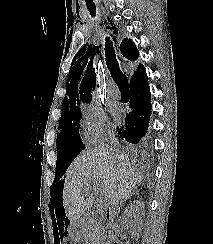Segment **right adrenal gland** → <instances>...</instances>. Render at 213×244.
<instances>
[{"label":"right adrenal gland","instance_id":"1","mask_svg":"<svg viewBox=\"0 0 213 244\" xmlns=\"http://www.w3.org/2000/svg\"><path fill=\"white\" fill-rule=\"evenodd\" d=\"M137 194H138V191H137L136 189H134L133 192H132V193H131L125 200H127V199H129L131 196H133V195H137ZM122 203H123V202L120 203V206L122 205Z\"/></svg>","mask_w":213,"mask_h":244}]
</instances>
